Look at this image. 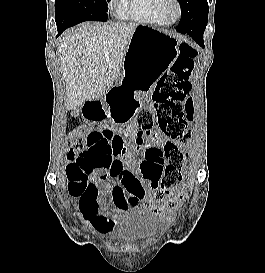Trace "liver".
<instances>
[{"label":"liver","instance_id":"6515ba94","mask_svg":"<svg viewBox=\"0 0 265 273\" xmlns=\"http://www.w3.org/2000/svg\"><path fill=\"white\" fill-rule=\"evenodd\" d=\"M138 23H85L59 39L58 56L66 82L67 108L99 99L117 80Z\"/></svg>","mask_w":265,"mask_h":273}]
</instances>
